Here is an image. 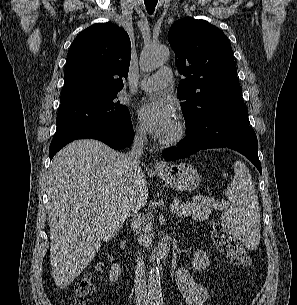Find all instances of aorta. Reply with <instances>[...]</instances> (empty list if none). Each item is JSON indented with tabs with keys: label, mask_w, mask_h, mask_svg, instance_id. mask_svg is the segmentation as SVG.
<instances>
[{
	"label": "aorta",
	"mask_w": 297,
	"mask_h": 305,
	"mask_svg": "<svg viewBox=\"0 0 297 305\" xmlns=\"http://www.w3.org/2000/svg\"><path fill=\"white\" fill-rule=\"evenodd\" d=\"M170 55V50L166 46H156L145 48L140 56V66L145 71H151L165 63ZM149 296L158 298L161 295V277L159 266L153 264L148 278Z\"/></svg>",
	"instance_id": "obj_1"
}]
</instances>
